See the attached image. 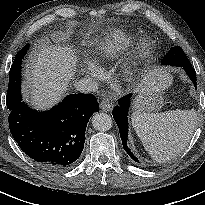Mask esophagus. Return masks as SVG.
<instances>
[{
    "label": "esophagus",
    "instance_id": "obj_1",
    "mask_svg": "<svg viewBox=\"0 0 205 205\" xmlns=\"http://www.w3.org/2000/svg\"><path fill=\"white\" fill-rule=\"evenodd\" d=\"M113 103L111 102V100L109 99H106V100H103L101 103H100V108L103 110V111H111L113 109Z\"/></svg>",
    "mask_w": 205,
    "mask_h": 205
}]
</instances>
